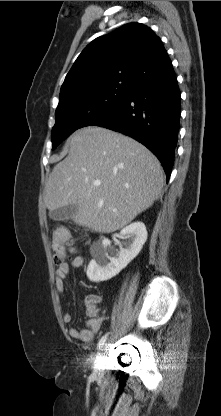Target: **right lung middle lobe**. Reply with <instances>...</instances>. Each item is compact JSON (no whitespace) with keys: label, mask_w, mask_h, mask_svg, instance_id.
Instances as JSON below:
<instances>
[{"label":"right lung middle lobe","mask_w":221,"mask_h":416,"mask_svg":"<svg viewBox=\"0 0 221 416\" xmlns=\"http://www.w3.org/2000/svg\"><path fill=\"white\" fill-rule=\"evenodd\" d=\"M130 93V89L111 88L58 105L52 129V149L75 130L108 118Z\"/></svg>","instance_id":"right-lung-middle-lobe-1"}]
</instances>
